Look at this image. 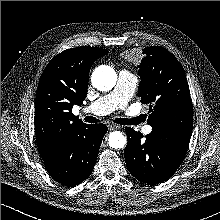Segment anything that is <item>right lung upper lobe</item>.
I'll return each mask as SVG.
<instances>
[{"label":"right lung upper lobe","instance_id":"cb5924a9","mask_svg":"<svg viewBox=\"0 0 220 220\" xmlns=\"http://www.w3.org/2000/svg\"><path fill=\"white\" fill-rule=\"evenodd\" d=\"M108 54L98 47H76L55 56L44 69L35 99V132L40 156L46 157L77 129L87 125L72 113L88 89L92 64Z\"/></svg>","mask_w":220,"mask_h":220}]
</instances>
